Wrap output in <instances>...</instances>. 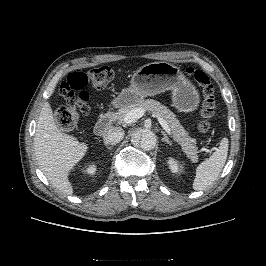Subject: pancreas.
I'll return each mask as SVG.
<instances>
[{"label": "pancreas", "mask_w": 266, "mask_h": 266, "mask_svg": "<svg viewBox=\"0 0 266 266\" xmlns=\"http://www.w3.org/2000/svg\"><path fill=\"white\" fill-rule=\"evenodd\" d=\"M135 108H142L144 112H151L163 118L171 129L174 140L182 146L183 151L192 162L198 161L196 140L188 135V132L180 124L175 115L160 102L153 99L141 100L137 103L127 105L112 114L113 120L124 122V118L128 112Z\"/></svg>", "instance_id": "cf45deb5"}]
</instances>
